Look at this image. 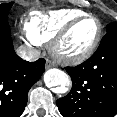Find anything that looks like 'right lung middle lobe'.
<instances>
[{"mask_svg":"<svg viewBox=\"0 0 117 117\" xmlns=\"http://www.w3.org/2000/svg\"><path fill=\"white\" fill-rule=\"evenodd\" d=\"M12 5L13 2L0 4V16H7Z\"/></svg>","mask_w":117,"mask_h":117,"instance_id":"dd1d6c3e","label":"right lung middle lobe"}]
</instances>
